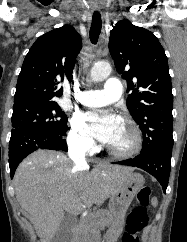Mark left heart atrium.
Segmentation results:
<instances>
[{
	"label": "left heart atrium",
	"instance_id": "1",
	"mask_svg": "<svg viewBox=\"0 0 187 242\" xmlns=\"http://www.w3.org/2000/svg\"><path fill=\"white\" fill-rule=\"evenodd\" d=\"M90 133L102 143L109 144L114 137L120 119L111 112H90Z\"/></svg>",
	"mask_w": 187,
	"mask_h": 242
}]
</instances>
